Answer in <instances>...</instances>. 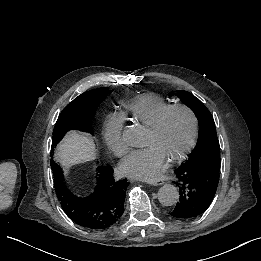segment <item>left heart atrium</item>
Listing matches in <instances>:
<instances>
[{"mask_svg": "<svg viewBox=\"0 0 261 261\" xmlns=\"http://www.w3.org/2000/svg\"><path fill=\"white\" fill-rule=\"evenodd\" d=\"M166 158L154 144L134 147L123 158L120 168L129 177L153 180L162 175Z\"/></svg>", "mask_w": 261, "mask_h": 261, "instance_id": "obj_1", "label": "left heart atrium"}]
</instances>
